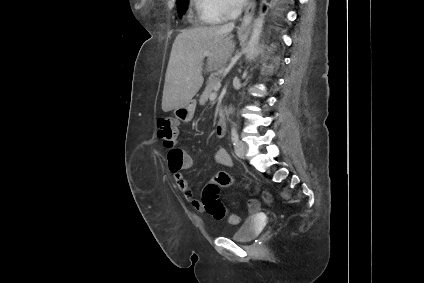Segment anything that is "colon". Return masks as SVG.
<instances>
[{
  "instance_id": "colon-1",
  "label": "colon",
  "mask_w": 424,
  "mask_h": 283,
  "mask_svg": "<svg viewBox=\"0 0 424 283\" xmlns=\"http://www.w3.org/2000/svg\"><path fill=\"white\" fill-rule=\"evenodd\" d=\"M158 137L163 141L168 149L169 168L172 172H177L189 166V159L185 151L175 147L178 137L177 121L172 116L160 117L157 121ZM234 178L227 172H218L209 182H207L202 191V204L207 213L215 219H227L228 223L236 225L239 217L235 214H228L222 202L219 199L220 188L231 187L234 185ZM249 207L255 209L257 203L249 202Z\"/></svg>"
}]
</instances>
